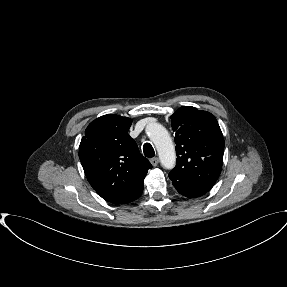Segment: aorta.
<instances>
[{"instance_id":"762f6f07","label":"aorta","mask_w":287,"mask_h":287,"mask_svg":"<svg viewBox=\"0 0 287 287\" xmlns=\"http://www.w3.org/2000/svg\"><path fill=\"white\" fill-rule=\"evenodd\" d=\"M147 135L157 149L162 166L172 169L176 163L175 147L166 128L159 123H150Z\"/></svg>"}]
</instances>
